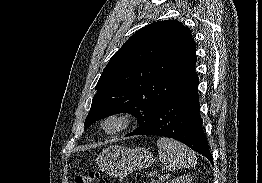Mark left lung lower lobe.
I'll return each mask as SVG.
<instances>
[{
    "instance_id": "left-lung-lower-lobe-1",
    "label": "left lung lower lobe",
    "mask_w": 262,
    "mask_h": 183,
    "mask_svg": "<svg viewBox=\"0 0 262 183\" xmlns=\"http://www.w3.org/2000/svg\"><path fill=\"white\" fill-rule=\"evenodd\" d=\"M198 84L194 65L173 93L160 104L148 126L134 135H158L176 139L213 164L202 128Z\"/></svg>"
}]
</instances>
